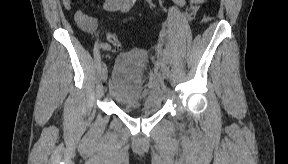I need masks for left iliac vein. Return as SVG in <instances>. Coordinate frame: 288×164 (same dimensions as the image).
<instances>
[{"label": "left iliac vein", "mask_w": 288, "mask_h": 164, "mask_svg": "<svg viewBox=\"0 0 288 164\" xmlns=\"http://www.w3.org/2000/svg\"><path fill=\"white\" fill-rule=\"evenodd\" d=\"M168 70L166 62H163L161 65V71L165 74Z\"/></svg>", "instance_id": "1"}]
</instances>
